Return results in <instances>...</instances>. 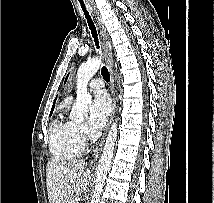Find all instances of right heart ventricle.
<instances>
[{
    "label": "right heart ventricle",
    "mask_w": 214,
    "mask_h": 203,
    "mask_svg": "<svg viewBox=\"0 0 214 203\" xmlns=\"http://www.w3.org/2000/svg\"><path fill=\"white\" fill-rule=\"evenodd\" d=\"M70 103L67 98L62 108L66 110ZM76 123L63 114L56 118L50 127L49 149L53 157L59 161H67L78 157L84 150L83 140L79 137Z\"/></svg>",
    "instance_id": "right-heart-ventricle-1"
}]
</instances>
